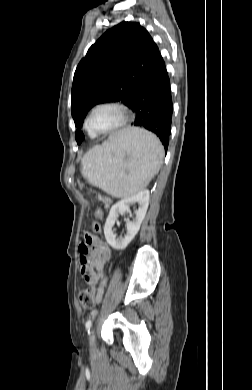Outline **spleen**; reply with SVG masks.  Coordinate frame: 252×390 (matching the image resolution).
I'll return each instance as SVG.
<instances>
[{
	"label": "spleen",
	"instance_id": "obj_1",
	"mask_svg": "<svg viewBox=\"0 0 252 390\" xmlns=\"http://www.w3.org/2000/svg\"><path fill=\"white\" fill-rule=\"evenodd\" d=\"M126 155H130L128 161ZM164 149L152 133L127 128L89 150L81 160L87 181L116 198H127L144 189L159 171Z\"/></svg>",
	"mask_w": 252,
	"mask_h": 390
}]
</instances>
